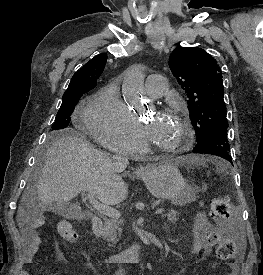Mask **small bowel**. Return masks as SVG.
Returning <instances> with one entry per match:
<instances>
[{"label":"small bowel","instance_id":"obj_1","mask_svg":"<svg viewBox=\"0 0 263 275\" xmlns=\"http://www.w3.org/2000/svg\"><path fill=\"white\" fill-rule=\"evenodd\" d=\"M191 232L193 237L192 252H202L204 258L209 257L213 247L212 237L216 234V227L209 221L204 213H198L192 224ZM28 233L30 235L31 244L24 258L25 263L32 262L37 245L39 243V237L33 230H29ZM20 275L29 274L25 270H22ZM230 275H236L235 267L233 268V272Z\"/></svg>","mask_w":263,"mask_h":275}]
</instances>
